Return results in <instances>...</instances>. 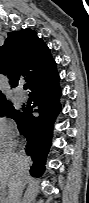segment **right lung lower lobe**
<instances>
[{"instance_id":"obj_1","label":"right lung lower lobe","mask_w":89,"mask_h":203,"mask_svg":"<svg viewBox=\"0 0 89 203\" xmlns=\"http://www.w3.org/2000/svg\"><path fill=\"white\" fill-rule=\"evenodd\" d=\"M59 80L55 66L33 82L29 88L35 94V103L33 106L24 107L23 115L17 123L20 133L28 141L25 151L33 160L30 170L32 176L39 177L45 171L53 124L61 111Z\"/></svg>"}]
</instances>
